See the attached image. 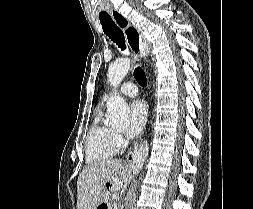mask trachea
Masks as SVG:
<instances>
[{"mask_svg":"<svg viewBox=\"0 0 253 209\" xmlns=\"http://www.w3.org/2000/svg\"><path fill=\"white\" fill-rule=\"evenodd\" d=\"M100 23L102 25L104 33L114 42L118 45L121 50L126 49L125 45V37L122 32V30L115 24V22L112 20V18L109 15H100L99 16ZM123 27V26H121ZM134 77L136 78L137 82L145 87L147 85V79L145 72L142 70V68L137 67L134 70Z\"/></svg>","mask_w":253,"mask_h":209,"instance_id":"1","label":"trachea"}]
</instances>
